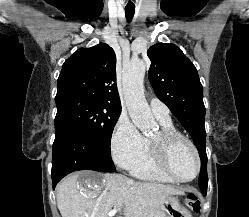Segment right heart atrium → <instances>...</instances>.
<instances>
[{
    "mask_svg": "<svg viewBox=\"0 0 249 217\" xmlns=\"http://www.w3.org/2000/svg\"><path fill=\"white\" fill-rule=\"evenodd\" d=\"M111 151L116 164L129 168L141 153L144 138L125 114H121L111 133Z\"/></svg>",
    "mask_w": 249,
    "mask_h": 217,
    "instance_id": "1",
    "label": "right heart atrium"
}]
</instances>
